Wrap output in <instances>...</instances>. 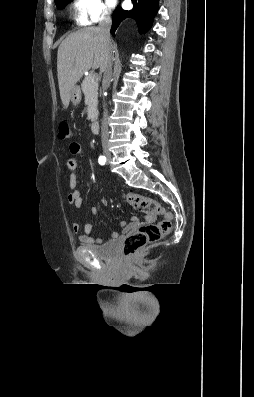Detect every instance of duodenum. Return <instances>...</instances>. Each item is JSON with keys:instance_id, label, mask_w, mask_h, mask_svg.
I'll return each mask as SVG.
<instances>
[{"instance_id": "duodenum-1", "label": "duodenum", "mask_w": 254, "mask_h": 397, "mask_svg": "<svg viewBox=\"0 0 254 397\" xmlns=\"http://www.w3.org/2000/svg\"><path fill=\"white\" fill-rule=\"evenodd\" d=\"M91 131L94 134H97L99 132V122L97 120L92 121V123H91Z\"/></svg>"}]
</instances>
